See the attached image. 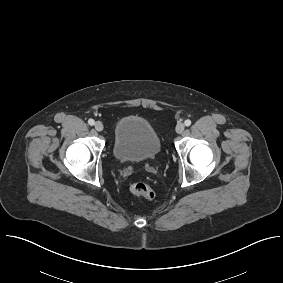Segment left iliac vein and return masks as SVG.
Segmentation results:
<instances>
[{
    "mask_svg": "<svg viewBox=\"0 0 283 283\" xmlns=\"http://www.w3.org/2000/svg\"><path fill=\"white\" fill-rule=\"evenodd\" d=\"M184 129H185V125L183 123H178L176 125V132L178 134L182 133L184 131Z\"/></svg>",
    "mask_w": 283,
    "mask_h": 283,
    "instance_id": "1",
    "label": "left iliac vein"
}]
</instances>
